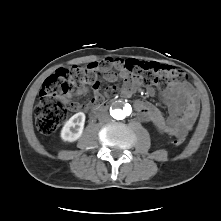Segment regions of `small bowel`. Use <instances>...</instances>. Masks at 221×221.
I'll list each match as a JSON object with an SVG mask.
<instances>
[{
	"mask_svg": "<svg viewBox=\"0 0 221 221\" xmlns=\"http://www.w3.org/2000/svg\"><path fill=\"white\" fill-rule=\"evenodd\" d=\"M114 67L118 70V74L111 70ZM103 79L106 82L113 83L117 79L122 80L121 94L125 97L131 96L136 87L135 81L125 70L124 61L121 59L110 58L100 67ZM100 82L92 86L95 97L88 105L82 106L75 102H69L68 107L72 110H83L94 108L101 100L99 94ZM89 88L83 87L77 89L72 96H81L88 93ZM149 95H154L155 90L148 88ZM161 98L167 105L169 116L166 118L161 110L149 102L143 100H135L134 106L141 120L151 122L160 132L170 136L183 137L190 131L198 116V99L193 88L186 82H177L166 90L161 92Z\"/></svg>",
	"mask_w": 221,
	"mask_h": 221,
	"instance_id": "c3829d8e",
	"label": "small bowel"
}]
</instances>
